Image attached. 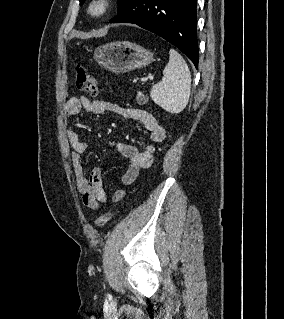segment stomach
I'll use <instances>...</instances> for the list:
<instances>
[{
    "instance_id": "1",
    "label": "stomach",
    "mask_w": 284,
    "mask_h": 319,
    "mask_svg": "<svg viewBox=\"0 0 284 319\" xmlns=\"http://www.w3.org/2000/svg\"><path fill=\"white\" fill-rule=\"evenodd\" d=\"M94 59L114 73L145 67L154 60L152 52L129 41H115L97 47Z\"/></svg>"
}]
</instances>
